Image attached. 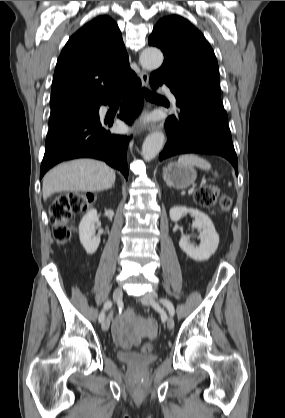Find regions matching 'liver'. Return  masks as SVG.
Masks as SVG:
<instances>
[{"label":"liver","instance_id":"6515ba94","mask_svg":"<svg viewBox=\"0 0 285 418\" xmlns=\"http://www.w3.org/2000/svg\"><path fill=\"white\" fill-rule=\"evenodd\" d=\"M115 171L104 162L93 159H78L62 163L43 178V198L54 193L97 192L111 188L115 183Z\"/></svg>","mask_w":285,"mask_h":418}]
</instances>
